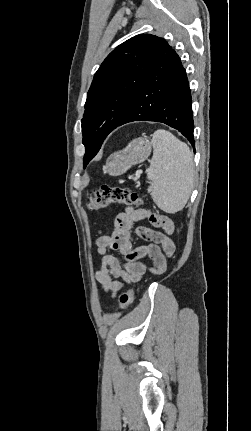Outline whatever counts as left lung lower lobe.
<instances>
[{
    "label": "left lung lower lobe",
    "instance_id": "0a47b994",
    "mask_svg": "<svg viewBox=\"0 0 251 431\" xmlns=\"http://www.w3.org/2000/svg\"><path fill=\"white\" fill-rule=\"evenodd\" d=\"M133 121L165 123L181 132L194 148L189 82L179 56L167 42L118 126Z\"/></svg>",
    "mask_w": 251,
    "mask_h": 431
}]
</instances>
